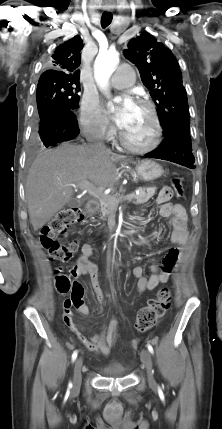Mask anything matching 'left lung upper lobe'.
I'll use <instances>...</instances> for the list:
<instances>
[{
  "instance_id": "5c2ea615",
  "label": "left lung upper lobe",
  "mask_w": 222,
  "mask_h": 429,
  "mask_svg": "<svg viewBox=\"0 0 222 429\" xmlns=\"http://www.w3.org/2000/svg\"><path fill=\"white\" fill-rule=\"evenodd\" d=\"M124 55L136 64L143 84L150 90L164 134L177 128L190 129L182 73L171 50L146 32L129 42Z\"/></svg>"
}]
</instances>
